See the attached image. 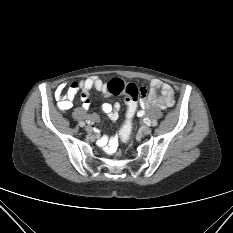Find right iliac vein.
<instances>
[{
    "instance_id": "right-iliac-vein-1",
    "label": "right iliac vein",
    "mask_w": 233,
    "mask_h": 233,
    "mask_svg": "<svg viewBox=\"0 0 233 233\" xmlns=\"http://www.w3.org/2000/svg\"><path fill=\"white\" fill-rule=\"evenodd\" d=\"M85 130H86L88 133H92V132H93L92 127L89 126V125H87V126L85 127Z\"/></svg>"
}]
</instances>
